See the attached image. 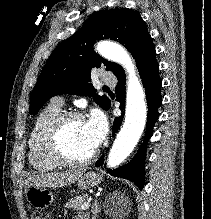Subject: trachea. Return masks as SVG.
<instances>
[{"mask_svg": "<svg viewBox=\"0 0 211 219\" xmlns=\"http://www.w3.org/2000/svg\"><path fill=\"white\" fill-rule=\"evenodd\" d=\"M104 90H109V87L105 86L103 87Z\"/></svg>", "mask_w": 211, "mask_h": 219, "instance_id": "obj_1", "label": "trachea"}]
</instances>
